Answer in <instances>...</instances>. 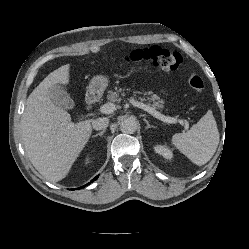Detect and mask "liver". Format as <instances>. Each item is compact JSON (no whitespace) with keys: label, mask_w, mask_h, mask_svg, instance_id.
<instances>
[{"label":"liver","mask_w":249,"mask_h":249,"mask_svg":"<svg viewBox=\"0 0 249 249\" xmlns=\"http://www.w3.org/2000/svg\"><path fill=\"white\" fill-rule=\"evenodd\" d=\"M70 65L51 72L32 91L21 119L23 144L36 170L51 182L66 177L87 144L92 120L78 123L49 97L53 85L69 83Z\"/></svg>","instance_id":"obj_1"}]
</instances>
